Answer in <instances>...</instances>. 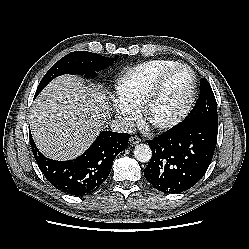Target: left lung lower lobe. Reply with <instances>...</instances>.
<instances>
[{"label": "left lung lower lobe", "instance_id": "obj_1", "mask_svg": "<svg viewBox=\"0 0 249 249\" xmlns=\"http://www.w3.org/2000/svg\"><path fill=\"white\" fill-rule=\"evenodd\" d=\"M218 124L181 122L148 141L152 158L144 169L146 180L164 193H181L207 171L215 151Z\"/></svg>", "mask_w": 249, "mask_h": 249}]
</instances>
